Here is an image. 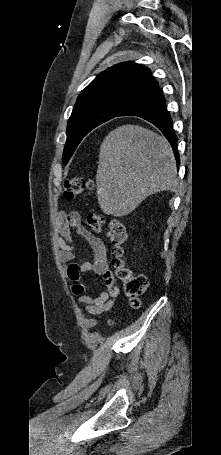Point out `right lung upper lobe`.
<instances>
[{
  "label": "right lung upper lobe",
  "mask_w": 221,
  "mask_h": 455,
  "mask_svg": "<svg viewBox=\"0 0 221 455\" xmlns=\"http://www.w3.org/2000/svg\"><path fill=\"white\" fill-rule=\"evenodd\" d=\"M158 85L150 70L133 62L117 64L99 74L78 96L75 108L110 103L124 110L148 96Z\"/></svg>",
  "instance_id": "right-lung-upper-lobe-1"
}]
</instances>
